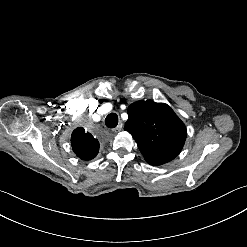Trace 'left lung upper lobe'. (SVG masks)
Segmentation results:
<instances>
[{
	"label": "left lung upper lobe",
	"instance_id": "left-lung-upper-lobe-1",
	"mask_svg": "<svg viewBox=\"0 0 247 247\" xmlns=\"http://www.w3.org/2000/svg\"><path fill=\"white\" fill-rule=\"evenodd\" d=\"M124 130L135 139L147 163L162 165L173 160L186 140V127L164 103L138 101L128 108Z\"/></svg>",
	"mask_w": 247,
	"mask_h": 247
}]
</instances>
